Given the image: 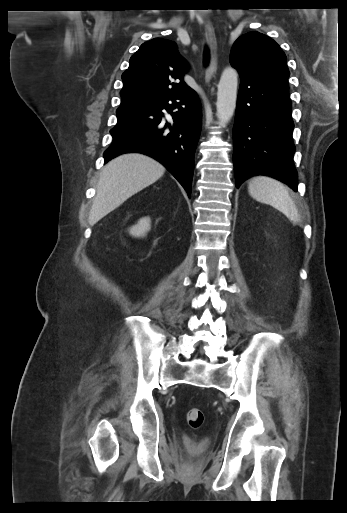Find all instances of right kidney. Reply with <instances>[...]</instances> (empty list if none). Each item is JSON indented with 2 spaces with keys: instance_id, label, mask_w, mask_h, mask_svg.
<instances>
[{
  "instance_id": "ca27d5eb",
  "label": "right kidney",
  "mask_w": 347,
  "mask_h": 513,
  "mask_svg": "<svg viewBox=\"0 0 347 513\" xmlns=\"http://www.w3.org/2000/svg\"><path fill=\"white\" fill-rule=\"evenodd\" d=\"M150 223L149 217H143L130 228L129 233L134 237H143L150 230Z\"/></svg>"
}]
</instances>
